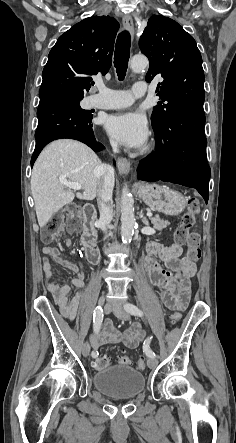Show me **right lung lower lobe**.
I'll return each mask as SVG.
<instances>
[{
    "instance_id": "1",
    "label": "right lung lower lobe",
    "mask_w": 236,
    "mask_h": 443,
    "mask_svg": "<svg viewBox=\"0 0 236 443\" xmlns=\"http://www.w3.org/2000/svg\"><path fill=\"white\" fill-rule=\"evenodd\" d=\"M37 117L36 147L31 158V166L41 150L56 139H76L87 144L96 152L104 148L94 137L91 113H81L72 102L58 95L40 97Z\"/></svg>"
}]
</instances>
